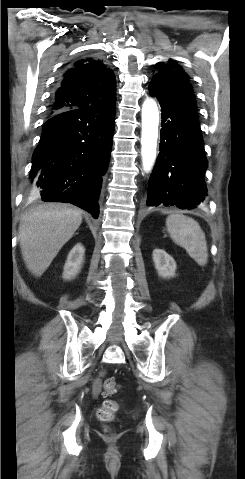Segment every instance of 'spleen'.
Returning <instances> with one entry per match:
<instances>
[{"label": "spleen", "instance_id": "spleen-1", "mask_svg": "<svg viewBox=\"0 0 245 479\" xmlns=\"http://www.w3.org/2000/svg\"><path fill=\"white\" fill-rule=\"evenodd\" d=\"M166 227L174 242L185 248L198 265L207 264L206 237L196 220L183 214H171L166 219Z\"/></svg>", "mask_w": 245, "mask_h": 479}]
</instances>
